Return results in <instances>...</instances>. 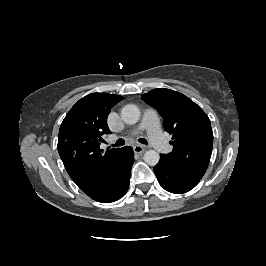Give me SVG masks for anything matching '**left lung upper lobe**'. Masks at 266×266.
Masks as SVG:
<instances>
[{
	"mask_svg": "<svg viewBox=\"0 0 266 266\" xmlns=\"http://www.w3.org/2000/svg\"><path fill=\"white\" fill-rule=\"evenodd\" d=\"M141 99L158 110L165 130L172 135V152L161 156L178 169L206 172L213 132L205 112L185 95L170 89H154Z\"/></svg>",
	"mask_w": 266,
	"mask_h": 266,
	"instance_id": "left-lung-upper-lobe-1",
	"label": "left lung upper lobe"
}]
</instances>
